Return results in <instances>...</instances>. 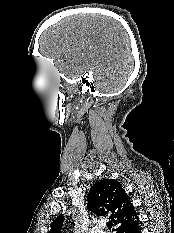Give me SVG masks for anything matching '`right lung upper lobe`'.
Returning a JSON list of instances; mask_svg holds the SVG:
<instances>
[{"label":"right lung upper lobe","mask_w":174,"mask_h":233,"mask_svg":"<svg viewBox=\"0 0 174 233\" xmlns=\"http://www.w3.org/2000/svg\"><path fill=\"white\" fill-rule=\"evenodd\" d=\"M87 208L97 216H109L115 225L116 233H125L139 224L128 194L121 184L114 179H104L95 183L87 197ZM63 215H59L49 233H61Z\"/></svg>","instance_id":"cb5924a9"}]
</instances>
